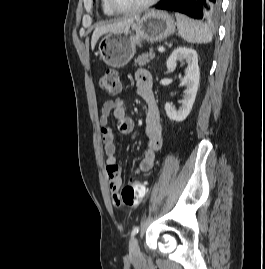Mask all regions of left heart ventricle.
<instances>
[{"label":"left heart ventricle","instance_id":"obj_1","mask_svg":"<svg viewBox=\"0 0 265 269\" xmlns=\"http://www.w3.org/2000/svg\"><path fill=\"white\" fill-rule=\"evenodd\" d=\"M146 1L147 0H114L116 6L119 8H132Z\"/></svg>","mask_w":265,"mask_h":269}]
</instances>
